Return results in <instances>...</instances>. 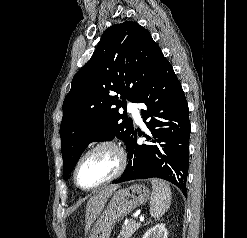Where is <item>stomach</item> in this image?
Segmentation results:
<instances>
[{"mask_svg":"<svg viewBox=\"0 0 247 238\" xmlns=\"http://www.w3.org/2000/svg\"><path fill=\"white\" fill-rule=\"evenodd\" d=\"M149 198L150 190L142 184L119 189L93 225L89 238H109L115 223Z\"/></svg>","mask_w":247,"mask_h":238,"instance_id":"0dacf381","label":"stomach"}]
</instances>
